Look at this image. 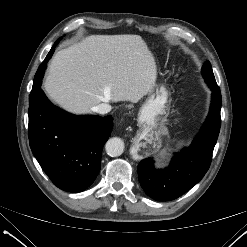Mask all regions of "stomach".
<instances>
[{
  "mask_svg": "<svg viewBox=\"0 0 247 247\" xmlns=\"http://www.w3.org/2000/svg\"><path fill=\"white\" fill-rule=\"evenodd\" d=\"M171 92L161 84L148 94L138 113V122L143 128L162 125L170 114Z\"/></svg>",
  "mask_w": 247,
  "mask_h": 247,
  "instance_id": "obj_1",
  "label": "stomach"
}]
</instances>
